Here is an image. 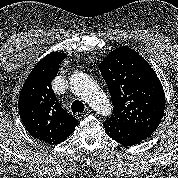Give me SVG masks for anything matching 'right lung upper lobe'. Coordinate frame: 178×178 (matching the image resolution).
I'll list each match as a JSON object with an SVG mask.
<instances>
[{
    "label": "right lung upper lobe",
    "instance_id": "1",
    "mask_svg": "<svg viewBox=\"0 0 178 178\" xmlns=\"http://www.w3.org/2000/svg\"><path fill=\"white\" fill-rule=\"evenodd\" d=\"M66 54L52 52L32 69L20 92L18 109L30 135L48 144H59L75 130L76 118L58 102L51 82Z\"/></svg>",
    "mask_w": 178,
    "mask_h": 178
}]
</instances>
